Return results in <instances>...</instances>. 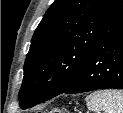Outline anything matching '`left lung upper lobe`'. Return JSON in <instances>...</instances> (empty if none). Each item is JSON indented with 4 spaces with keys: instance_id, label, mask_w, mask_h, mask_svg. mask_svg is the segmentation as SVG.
<instances>
[{
    "instance_id": "obj_1",
    "label": "left lung upper lobe",
    "mask_w": 123,
    "mask_h": 113,
    "mask_svg": "<svg viewBox=\"0 0 123 113\" xmlns=\"http://www.w3.org/2000/svg\"><path fill=\"white\" fill-rule=\"evenodd\" d=\"M120 0H55L38 25L19 91L22 109L68 90Z\"/></svg>"
}]
</instances>
